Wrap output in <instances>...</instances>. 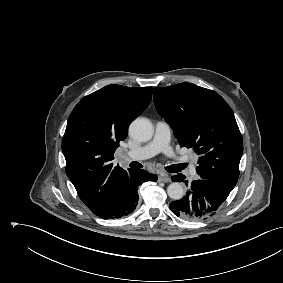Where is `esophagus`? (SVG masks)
Here are the masks:
<instances>
[{
  "label": "esophagus",
  "instance_id": "34e87169",
  "mask_svg": "<svg viewBox=\"0 0 283 283\" xmlns=\"http://www.w3.org/2000/svg\"><path fill=\"white\" fill-rule=\"evenodd\" d=\"M159 181L165 182V183H169V182H171V179H170V177H169L168 175H166V174H161V175L159 176Z\"/></svg>",
  "mask_w": 283,
  "mask_h": 283
}]
</instances>
